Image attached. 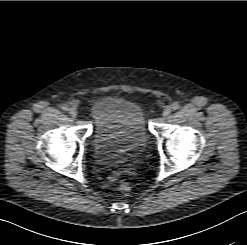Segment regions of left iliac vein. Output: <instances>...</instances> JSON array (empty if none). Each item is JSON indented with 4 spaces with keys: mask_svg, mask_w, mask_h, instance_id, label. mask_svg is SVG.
Here are the masks:
<instances>
[{
    "mask_svg": "<svg viewBox=\"0 0 247 245\" xmlns=\"http://www.w3.org/2000/svg\"><path fill=\"white\" fill-rule=\"evenodd\" d=\"M170 113H171V107L170 106H166L164 108L163 112H162V115H163V117L166 118L167 116H169Z\"/></svg>",
    "mask_w": 247,
    "mask_h": 245,
    "instance_id": "obj_1",
    "label": "left iliac vein"
}]
</instances>
